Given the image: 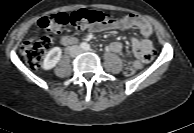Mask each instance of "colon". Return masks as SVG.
Returning <instances> with one entry per match:
<instances>
[{
  "mask_svg": "<svg viewBox=\"0 0 194 133\" xmlns=\"http://www.w3.org/2000/svg\"><path fill=\"white\" fill-rule=\"evenodd\" d=\"M112 21L108 13L94 10V9H78L70 14L58 13L47 17H43L39 21L40 27L47 30V33L40 37H33L25 41L21 46V54L26 63L33 67L38 68L44 54L51 47L54 35L62 30V28L70 23L78 30H84L88 27L98 26L110 23ZM152 57L143 56L144 60H150ZM140 66L129 65L124 68V75L132 76L139 69Z\"/></svg>",
  "mask_w": 194,
  "mask_h": 133,
  "instance_id": "colon-1",
  "label": "colon"
}]
</instances>
